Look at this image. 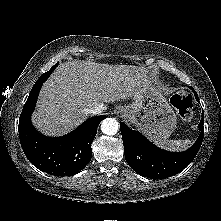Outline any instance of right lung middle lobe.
I'll list each match as a JSON object with an SVG mask.
<instances>
[{
    "mask_svg": "<svg viewBox=\"0 0 221 221\" xmlns=\"http://www.w3.org/2000/svg\"><path fill=\"white\" fill-rule=\"evenodd\" d=\"M57 65H58V63L55 64L48 72L41 75V77L50 75L52 73V71L56 68Z\"/></svg>",
    "mask_w": 221,
    "mask_h": 221,
    "instance_id": "1",
    "label": "right lung middle lobe"
}]
</instances>
